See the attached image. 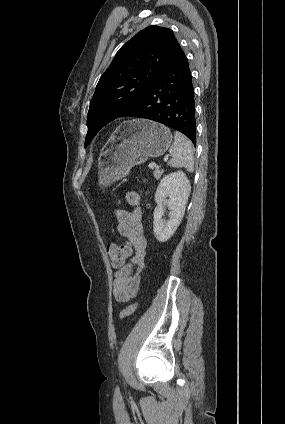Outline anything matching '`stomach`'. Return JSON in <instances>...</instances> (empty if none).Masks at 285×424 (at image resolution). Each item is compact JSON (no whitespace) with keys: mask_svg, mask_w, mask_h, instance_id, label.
<instances>
[{"mask_svg":"<svg viewBox=\"0 0 285 424\" xmlns=\"http://www.w3.org/2000/svg\"><path fill=\"white\" fill-rule=\"evenodd\" d=\"M171 131L145 119L123 122L101 150L98 160L99 185L108 186L126 176L149 157L163 155L172 143Z\"/></svg>","mask_w":285,"mask_h":424,"instance_id":"stomach-1","label":"stomach"}]
</instances>
